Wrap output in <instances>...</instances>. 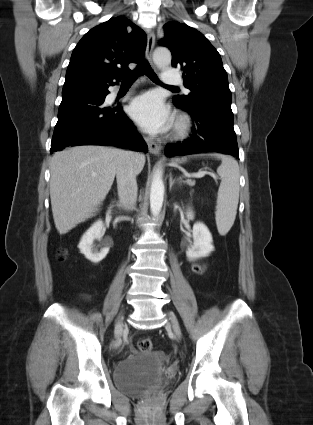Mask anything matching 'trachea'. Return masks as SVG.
Returning <instances> with one entry per match:
<instances>
[{"instance_id": "obj_1", "label": "trachea", "mask_w": 313, "mask_h": 425, "mask_svg": "<svg viewBox=\"0 0 313 425\" xmlns=\"http://www.w3.org/2000/svg\"><path fill=\"white\" fill-rule=\"evenodd\" d=\"M146 75L147 77H149L152 81L159 83V79L157 77V75L154 73V71L152 70L150 64L144 60L142 61L136 68V70L130 74L128 77H126L123 82H133L135 81L139 76L141 75ZM167 87H171V88H176L175 86H167Z\"/></svg>"}]
</instances>
